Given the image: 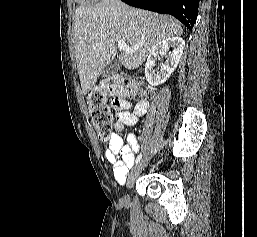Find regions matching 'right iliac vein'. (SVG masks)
Wrapping results in <instances>:
<instances>
[{"label": "right iliac vein", "instance_id": "right-iliac-vein-1", "mask_svg": "<svg viewBox=\"0 0 257 237\" xmlns=\"http://www.w3.org/2000/svg\"><path fill=\"white\" fill-rule=\"evenodd\" d=\"M146 166V159L141 160L130 172L128 181H127V188L130 189L132 185L134 184L139 172L144 169ZM123 203L127 204L129 202V195L125 194L123 199Z\"/></svg>", "mask_w": 257, "mask_h": 237}]
</instances>
